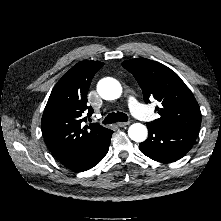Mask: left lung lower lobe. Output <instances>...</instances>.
<instances>
[{
	"label": "left lung lower lobe",
	"mask_w": 221,
	"mask_h": 221,
	"mask_svg": "<svg viewBox=\"0 0 221 221\" xmlns=\"http://www.w3.org/2000/svg\"><path fill=\"white\" fill-rule=\"evenodd\" d=\"M149 135L140 143V150L149 158L162 162H174L182 158L193 146L197 134L193 131H176L147 123Z\"/></svg>",
	"instance_id": "obj_1"
}]
</instances>
